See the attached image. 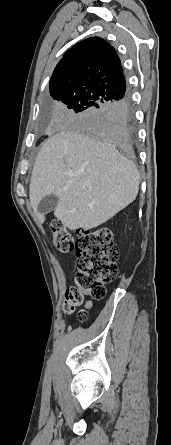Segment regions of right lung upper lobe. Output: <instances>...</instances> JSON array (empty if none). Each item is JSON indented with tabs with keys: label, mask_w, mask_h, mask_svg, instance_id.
Instances as JSON below:
<instances>
[{
	"label": "right lung upper lobe",
	"mask_w": 171,
	"mask_h": 445,
	"mask_svg": "<svg viewBox=\"0 0 171 445\" xmlns=\"http://www.w3.org/2000/svg\"><path fill=\"white\" fill-rule=\"evenodd\" d=\"M50 95L89 91L104 101L128 96L122 66L115 49L99 37H91L70 48L50 79Z\"/></svg>",
	"instance_id": "cb5924a9"
}]
</instances>
